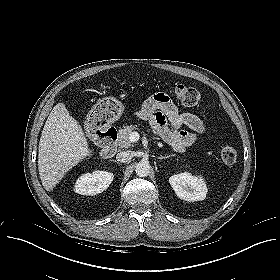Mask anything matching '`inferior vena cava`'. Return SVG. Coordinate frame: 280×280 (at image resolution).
<instances>
[{
    "mask_svg": "<svg viewBox=\"0 0 280 280\" xmlns=\"http://www.w3.org/2000/svg\"><path fill=\"white\" fill-rule=\"evenodd\" d=\"M133 152L132 151H122L116 155V160L122 163L128 162L132 159Z\"/></svg>",
    "mask_w": 280,
    "mask_h": 280,
    "instance_id": "obj_1",
    "label": "inferior vena cava"
}]
</instances>
